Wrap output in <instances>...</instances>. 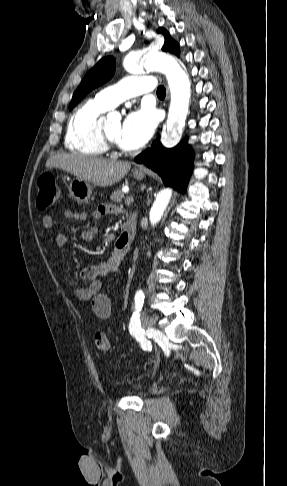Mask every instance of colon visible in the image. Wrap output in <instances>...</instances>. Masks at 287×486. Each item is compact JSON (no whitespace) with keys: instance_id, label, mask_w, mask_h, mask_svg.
Returning <instances> with one entry per match:
<instances>
[{"instance_id":"obj_1","label":"colon","mask_w":287,"mask_h":486,"mask_svg":"<svg viewBox=\"0 0 287 486\" xmlns=\"http://www.w3.org/2000/svg\"><path fill=\"white\" fill-rule=\"evenodd\" d=\"M59 196V188L55 177L46 173L39 177L37 181L36 205L39 210H45L55 204ZM95 347L100 351H106L109 348V340L106 334L98 331L94 336Z\"/></svg>"}]
</instances>
